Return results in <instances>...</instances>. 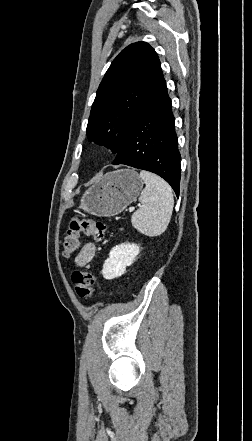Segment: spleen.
Segmentation results:
<instances>
[{
  "instance_id": "3e777b00",
  "label": "spleen",
  "mask_w": 252,
  "mask_h": 441,
  "mask_svg": "<svg viewBox=\"0 0 252 441\" xmlns=\"http://www.w3.org/2000/svg\"><path fill=\"white\" fill-rule=\"evenodd\" d=\"M140 177L146 187L139 201L142 203L131 217L133 227L149 237L161 235L170 222L174 199L170 185L159 176L142 170Z\"/></svg>"
}]
</instances>
